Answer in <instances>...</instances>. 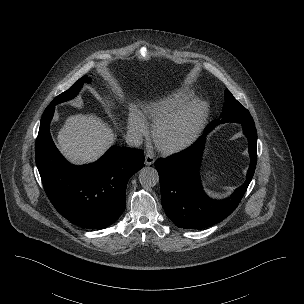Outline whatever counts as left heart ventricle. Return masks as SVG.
Segmentation results:
<instances>
[{"mask_svg": "<svg viewBox=\"0 0 304 304\" xmlns=\"http://www.w3.org/2000/svg\"><path fill=\"white\" fill-rule=\"evenodd\" d=\"M189 127L188 120H182L170 125L165 131V137L168 139H175L181 137Z\"/></svg>", "mask_w": 304, "mask_h": 304, "instance_id": "obj_1", "label": "left heart ventricle"}]
</instances>
